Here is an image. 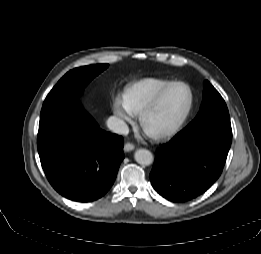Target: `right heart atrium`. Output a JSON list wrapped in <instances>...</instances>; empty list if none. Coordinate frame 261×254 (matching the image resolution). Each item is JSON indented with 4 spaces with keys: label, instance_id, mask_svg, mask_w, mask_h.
<instances>
[{
    "label": "right heart atrium",
    "instance_id": "d8ad5b80",
    "mask_svg": "<svg viewBox=\"0 0 261 254\" xmlns=\"http://www.w3.org/2000/svg\"><path fill=\"white\" fill-rule=\"evenodd\" d=\"M113 112L122 122L128 123L134 119L135 114L130 109L126 97H117L113 104Z\"/></svg>",
    "mask_w": 261,
    "mask_h": 254
}]
</instances>
